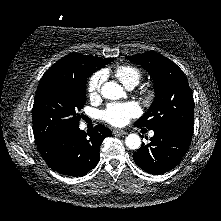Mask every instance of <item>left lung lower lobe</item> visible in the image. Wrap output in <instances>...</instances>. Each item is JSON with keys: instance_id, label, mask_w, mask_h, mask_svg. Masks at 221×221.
I'll return each instance as SVG.
<instances>
[{"instance_id": "left-lung-lower-lobe-1", "label": "left lung lower lobe", "mask_w": 221, "mask_h": 221, "mask_svg": "<svg viewBox=\"0 0 221 221\" xmlns=\"http://www.w3.org/2000/svg\"><path fill=\"white\" fill-rule=\"evenodd\" d=\"M150 143L133 154L135 163L144 171L160 175L175 168L189 149L192 136L169 130H153Z\"/></svg>"}]
</instances>
